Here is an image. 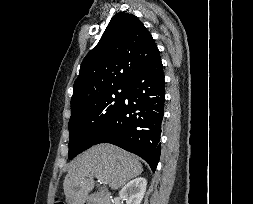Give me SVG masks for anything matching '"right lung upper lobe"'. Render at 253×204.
I'll list each match as a JSON object with an SVG mask.
<instances>
[{
  "label": "right lung upper lobe",
  "instance_id": "cb5924a9",
  "mask_svg": "<svg viewBox=\"0 0 253 204\" xmlns=\"http://www.w3.org/2000/svg\"><path fill=\"white\" fill-rule=\"evenodd\" d=\"M156 50L154 39L136 16L116 14L82 61L71 108L108 90L126 87Z\"/></svg>",
  "mask_w": 253,
  "mask_h": 204
}]
</instances>
